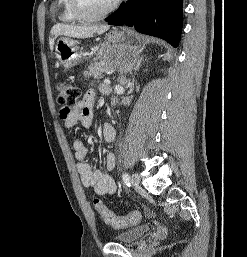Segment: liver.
<instances>
[{"instance_id":"1","label":"liver","mask_w":247,"mask_h":257,"mask_svg":"<svg viewBox=\"0 0 247 257\" xmlns=\"http://www.w3.org/2000/svg\"><path fill=\"white\" fill-rule=\"evenodd\" d=\"M109 29L108 25L99 26H76L68 24H56L52 27L49 38L50 49H53L54 41L59 35L73 38H88L92 37L95 33L102 34Z\"/></svg>"}]
</instances>
